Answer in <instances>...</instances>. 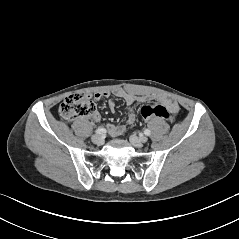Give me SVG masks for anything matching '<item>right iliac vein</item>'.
Masks as SVG:
<instances>
[{
  "label": "right iliac vein",
  "mask_w": 239,
  "mask_h": 239,
  "mask_svg": "<svg viewBox=\"0 0 239 239\" xmlns=\"http://www.w3.org/2000/svg\"><path fill=\"white\" fill-rule=\"evenodd\" d=\"M92 142L95 144H102L103 143V137L100 134H95L91 138Z\"/></svg>",
  "instance_id": "1"
}]
</instances>
